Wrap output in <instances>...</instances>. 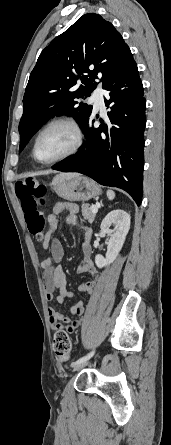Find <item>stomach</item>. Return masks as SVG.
<instances>
[{
    "instance_id": "obj_1",
    "label": "stomach",
    "mask_w": 171,
    "mask_h": 445,
    "mask_svg": "<svg viewBox=\"0 0 171 445\" xmlns=\"http://www.w3.org/2000/svg\"><path fill=\"white\" fill-rule=\"evenodd\" d=\"M52 185L56 194L68 201H87L101 194L93 180L81 175L56 176Z\"/></svg>"
}]
</instances>
